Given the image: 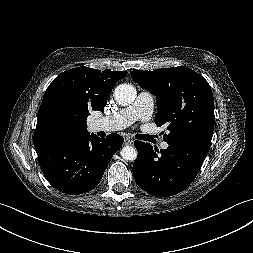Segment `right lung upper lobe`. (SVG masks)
<instances>
[{
    "mask_svg": "<svg viewBox=\"0 0 253 253\" xmlns=\"http://www.w3.org/2000/svg\"><path fill=\"white\" fill-rule=\"evenodd\" d=\"M126 75L124 71H100L82 66L57 76L47 88L38 112L34 147L38 149L53 139L89 135L86 124L89 112L103 111L113 86ZM54 111L64 114L62 124L52 122Z\"/></svg>",
    "mask_w": 253,
    "mask_h": 253,
    "instance_id": "cb5924a9",
    "label": "right lung upper lobe"
}]
</instances>
